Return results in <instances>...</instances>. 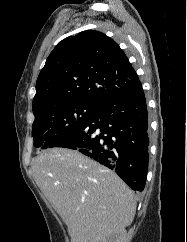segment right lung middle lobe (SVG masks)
Returning <instances> with one entry per match:
<instances>
[{"label": "right lung middle lobe", "instance_id": "obj_1", "mask_svg": "<svg viewBox=\"0 0 187 242\" xmlns=\"http://www.w3.org/2000/svg\"><path fill=\"white\" fill-rule=\"evenodd\" d=\"M98 108L96 104L72 102L35 116L32 125L34 146L39 149L49 148L89 119Z\"/></svg>", "mask_w": 187, "mask_h": 242}]
</instances>
